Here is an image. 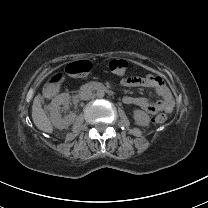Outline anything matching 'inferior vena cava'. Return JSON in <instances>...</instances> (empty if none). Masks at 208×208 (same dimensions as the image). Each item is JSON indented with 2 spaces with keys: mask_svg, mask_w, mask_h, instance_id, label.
Masks as SVG:
<instances>
[{
  "mask_svg": "<svg viewBox=\"0 0 208 208\" xmlns=\"http://www.w3.org/2000/svg\"><path fill=\"white\" fill-rule=\"evenodd\" d=\"M79 98L81 100H85V101L90 100L92 98V92H91V90L86 89V88L81 89V91L79 93Z\"/></svg>",
  "mask_w": 208,
  "mask_h": 208,
  "instance_id": "inferior-vena-cava-1",
  "label": "inferior vena cava"
}]
</instances>
